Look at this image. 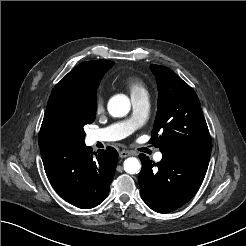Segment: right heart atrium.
<instances>
[{"instance_id":"obj_1","label":"right heart atrium","mask_w":246,"mask_h":246,"mask_svg":"<svg viewBox=\"0 0 246 246\" xmlns=\"http://www.w3.org/2000/svg\"><path fill=\"white\" fill-rule=\"evenodd\" d=\"M95 110H96V113H98V114L103 112V110H104V99L101 95L97 96L96 104H95Z\"/></svg>"}]
</instances>
